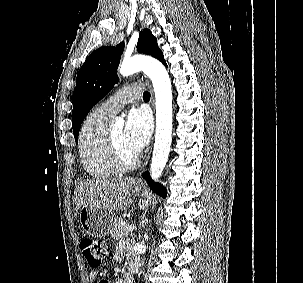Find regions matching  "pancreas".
Wrapping results in <instances>:
<instances>
[{
	"instance_id": "obj_1",
	"label": "pancreas",
	"mask_w": 303,
	"mask_h": 283,
	"mask_svg": "<svg viewBox=\"0 0 303 283\" xmlns=\"http://www.w3.org/2000/svg\"><path fill=\"white\" fill-rule=\"evenodd\" d=\"M123 218L118 217L115 218L112 227H111V237L118 240V239H124L128 235L127 227L129 225H122L121 223L123 222Z\"/></svg>"
}]
</instances>
